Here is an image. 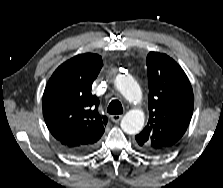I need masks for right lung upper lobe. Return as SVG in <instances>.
<instances>
[{"mask_svg":"<svg viewBox=\"0 0 223 188\" xmlns=\"http://www.w3.org/2000/svg\"><path fill=\"white\" fill-rule=\"evenodd\" d=\"M103 66L101 56L85 53L61 64L43 94V116L57 141L67 148L95 147L107 117L98 113L91 86Z\"/></svg>","mask_w":223,"mask_h":188,"instance_id":"right-lung-upper-lobe-1","label":"right lung upper lobe"}]
</instances>
